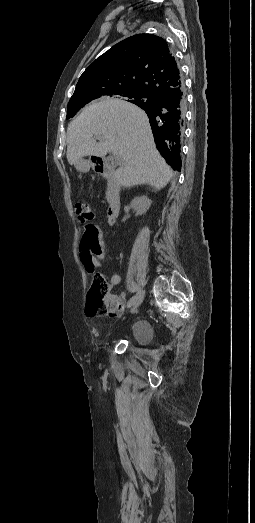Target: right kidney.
I'll return each instance as SVG.
<instances>
[{
	"label": "right kidney",
	"mask_w": 255,
	"mask_h": 523,
	"mask_svg": "<svg viewBox=\"0 0 255 523\" xmlns=\"http://www.w3.org/2000/svg\"><path fill=\"white\" fill-rule=\"evenodd\" d=\"M152 202L147 196H137L131 202V208L137 212V214H145L149 210Z\"/></svg>",
	"instance_id": "1"
}]
</instances>
